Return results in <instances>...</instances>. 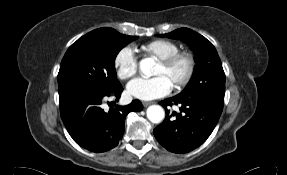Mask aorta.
<instances>
[{
  "label": "aorta",
  "instance_id": "762f6f07",
  "mask_svg": "<svg viewBox=\"0 0 287 175\" xmlns=\"http://www.w3.org/2000/svg\"><path fill=\"white\" fill-rule=\"evenodd\" d=\"M155 62L152 58H144L140 61L139 67L140 71L147 77L152 75V67L154 66ZM147 118L152 123H160L164 117L165 112L163 108L159 105H151L147 108Z\"/></svg>",
  "mask_w": 287,
  "mask_h": 175
}]
</instances>
